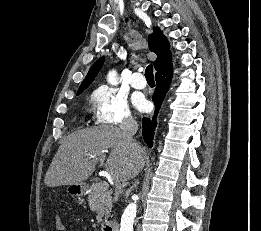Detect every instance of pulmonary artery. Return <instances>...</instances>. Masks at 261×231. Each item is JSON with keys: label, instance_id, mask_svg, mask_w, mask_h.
Segmentation results:
<instances>
[{"label": "pulmonary artery", "instance_id": "1", "mask_svg": "<svg viewBox=\"0 0 261 231\" xmlns=\"http://www.w3.org/2000/svg\"><path fill=\"white\" fill-rule=\"evenodd\" d=\"M130 84L135 89H144L147 85L141 72L137 71L132 74Z\"/></svg>", "mask_w": 261, "mask_h": 231}]
</instances>
